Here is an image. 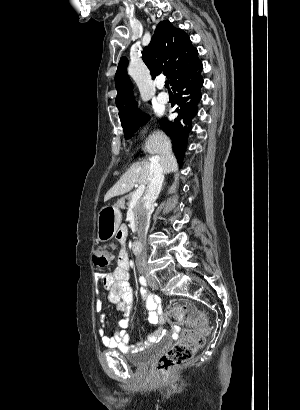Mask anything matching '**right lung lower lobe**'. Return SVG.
<instances>
[{"instance_id": "obj_1", "label": "right lung lower lobe", "mask_w": 300, "mask_h": 410, "mask_svg": "<svg viewBox=\"0 0 300 410\" xmlns=\"http://www.w3.org/2000/svg\"><path fill=\"white\" fill-rule=\"evenodd\" d=\"M202 63L197 59L194 64L184 73L180 74L172 83L175 93L173 113L175 118L168 121L166 118L160 120L162 129L172 139L175 155L181 164L188 136L192 129V120L198 112V103L201 100V88L203 78L201 75Z\"/></svg>"}]
</instances>
